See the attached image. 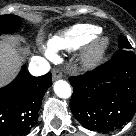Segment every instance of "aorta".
I'll list each match as a JSON object with an SVG mask.
<instances>
[{"label": "aorta", "instance_id": "762f6f07", "mask_svg": "<svg viewBox=\"0 0 136 136\" xmlns=\"http://www.w3.org/2000/svg\"><path fill=\"white\" fill-rule=\"evenodd\" d=\"M54 92L59 98L62 99H67L72 94L70 85L64 80H58L55 82Z\"/></svg>", "mask_w": 136, "mask_h": 136}]
</instances>
